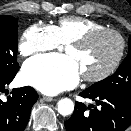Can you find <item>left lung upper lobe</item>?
<instances>
[{
	"instance_id": "5c2ea615",
	"label": "left lung upper lobe",
	"mask_w": 131,
	"mask_h": 131,
	"mask_svg": "<svg viewBox=\"0 0 131 131\" xmlns=\"http://www.w3.org/2000/svg\"><path fill=\"white\" fill-rule=\"evenodd\" d=\"M129 51L117 71L110 77L99 81L88 90L107 95H120L131 99V36L128 40Z\"/></svg>"
}]
</instances>
